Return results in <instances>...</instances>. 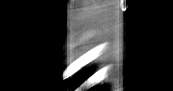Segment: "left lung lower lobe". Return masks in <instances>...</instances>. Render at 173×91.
<instances>
[{
    "instance_id": "obj_1",
    "label": "left lung lower lobe",
    "mask_w": 173,
    "mask_h": 91,
    "mask_svg": "<svg viewBox=\"0 0 173 91\" xmlns=\"http://www.w3.org/2000/svg\"><path fill=\"white\" fill-rule=\"evenodd\" d=\"M84 75H85V74H84ZM84 75H82L81 77L78 78V81H77L76 84H74V86H78V85L80 84L79 81H81V80L83 79ZM101 90H102V89H98V91H101Z\"/></svg>"
}]
</instances>
